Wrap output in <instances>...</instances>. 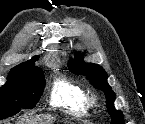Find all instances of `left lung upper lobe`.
I'll return each mask as SVG.
<instances>
[{"label":"left lung upper lobe","mask_w":145,"mask_h":124,"mask_svg":"<svg viewBox=\"0 0 145 124\" xmlns=\"http://www.w3.org/2000/svg\"><path fill=\"white\" fill-rule=\"evenodd\" d=\"M69 68L75 74L86 76L95 88L104 91L107 100L106 106L112 117L111 124H123L122 112L115 110L113 107L115 94L107 83V74L102 67L96 64L84 63L81 58H76L69 62Z\"/></svg>","instance_id":"left-lung-upper-lobe-1"}]
</instances>
